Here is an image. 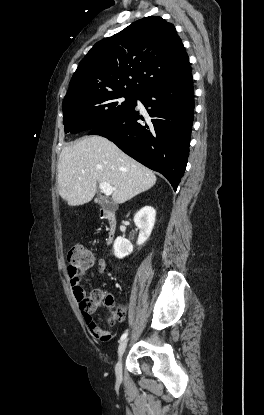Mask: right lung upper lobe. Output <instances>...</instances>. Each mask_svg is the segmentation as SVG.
Returning a JSON list of instances; mask_svg holds the SVG:
<instances>
[{"label":"right lung upper lobe","mask_w":264,"mask_h":415,"mask_svg":"<svg viewBox=\"0 0 264 415\" xmlns=\"http://www.w3.org/2000/svg\"><path fill=\"white\" fill-rule=\"evenodd\" d=\"M190 72L174 25L149 16L96 43L73 74L64 100L119 91L139 95Z\"/></svg>","instance_id":"obj_1"}]
</instances>
